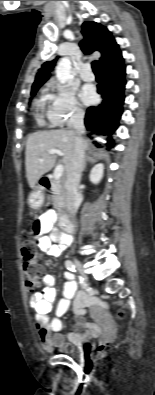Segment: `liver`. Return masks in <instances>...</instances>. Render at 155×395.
<instances>
[{
	"mask_svg": "<svg viewBox=\"0 0 155 395\" xmlns=\"http://www.w3.org/2000/svg\"><path fill=\"white\" fill-rule=\"evenodd\" d=\"M77 137V133L72 130L38 131L28 137L25 166L27 180L31 188H34L37 181L54 167L57 157L55 154L48 153L51 149L63 152L62 163L65 171L67 170L74 154ZM83 146L84 150L88 148L87 140H83Z\"/></svg>",
	"mask_w": 155,
	"mask_h": 395,
	"instance_id": "liver-1",
	"label": "liver"
}]
</instances>
